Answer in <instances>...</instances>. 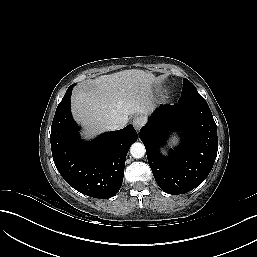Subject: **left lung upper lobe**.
Segmentation results:
<instances>
[{"instance_id":"left-lung-upper-lobe-1","label":"left lung upper lobe","mask_w":257,"mask_h":257,"mask_svg":"<svg viewBox=\"0 0 257 257\" xmlns=\"http://www.w3.org/2000/svg\"><path fill=\"white\" fill-rule=\"evenodd\" d=\"M186 102L207 103L206 100L198 93L196 87L188 79L184 78L179 103Z\"/></svg>"}]
</instances>
